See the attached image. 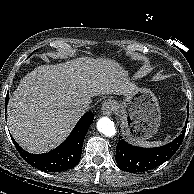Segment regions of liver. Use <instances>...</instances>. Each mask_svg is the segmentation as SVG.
<instances>
[{"instance_id":"liver-1","label":"liver","mask_w":194,"mask_h":194,"mask_svg":"<svg viewBox=\"0 0 194 194\" xmlns=\"http://www.w3.org/2000/svg\"><path fill=\"white\" fill-rule=\"evenodd\" d=\"M128 72L111 59L80 57L41 65L21 79L10 97L7 124L25 150L45 153L60 144L83 112L80 103L100 95H130Z\"/></svg>"}]
</instances>
